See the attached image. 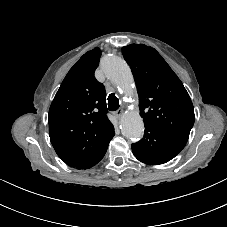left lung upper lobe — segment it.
Listing matches in <instances>:
<instances>
[{"label": "left lung upper lobe", "mask_w": 227, "mask_h": 227, "mask_svg": "<svg viewBox=\"0 0 227 227\" xmlns=\"http://www.w3.org/2000/svg\"><path fill=\"white\" fill-rule=\"evenodd\" d=\"M123 55L134 75L145 126L187 141L195 115L180 79L152 47L131 44L123 47Z\"/></svg>", "instance_id": "left-lung-upper-lobe-1"}]
</instances>
